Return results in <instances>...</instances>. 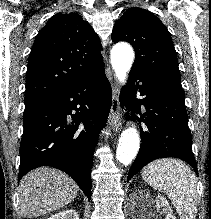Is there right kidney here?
I'll return each mask as SVG.
<instances>
[{"instance_id":"right-kidney-1","label":"right kidney","mask_w":211,"mask_h":219,"mask_svg":"<svg viewBox=\"0 0 211 219\" xmlns=\"http://www.w3.org/2000/svg\"><path fill=\"white\" fill-rule=\"evenodd\" d=\"M48 219H79V216L75 210L67 209L62 212L52 215Z\"/></svg>"}]
</instances>
